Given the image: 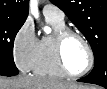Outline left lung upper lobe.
Returning a JSON list of instances; mask_svg holds the SVG:
<instances>
[{
  "mask_svg": "<svg viewBox=\"0 0 107 89\" xmlns=\"http://www.w3.org/2000/svg\"><path fill=\"white\" fill-rule=\"evenodd\" d=\"M90 43L94 62L107 55V0H50Z\"/></svg>",
  "mask_w": 107,
  "mask_h": 89,
  "instance_id": "5c2ea615",
  "label": "left lung upper lobe"
}]
</instances>
